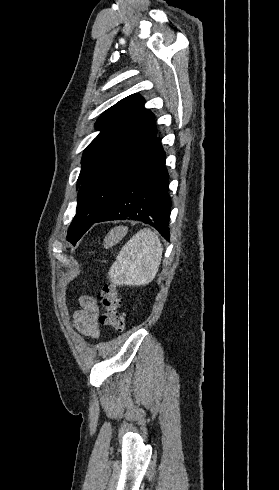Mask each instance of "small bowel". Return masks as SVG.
<instances>
[{
  "label": "small bowel",
  "instance_id": "1",
  "mask_svg": "<svg viewBox=\"0 0 279 490\" xmlns=\"http://www.w3.org/2000/svg\"><path fill=\"white\" fill-rule=\"evenodd\" d=\"M79 304L80 309L73 314L75 328L86 337L98 338L100 336L99 306L96 299L92 296L83 295L79 298Z\"/></svg>",
  "mask_w": 279,
  "mask_h": 490
}]
</instances>
